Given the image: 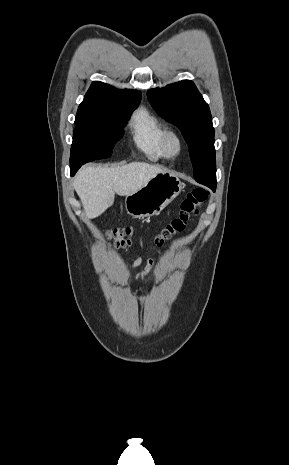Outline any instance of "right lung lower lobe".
I'll use <instances>...</instances> for the list:
<instances>
[{
	"label": "right lung lower lobe",
	"mask_w": 289,
	"mask_h": 465,
	"mask_svg": "<svg viewBox=\"0 0 289 465\" xmlns=\"http://www.w3.org/2000/svg\"><path fill=\"white\" fill-rule=\"evenodd\" d=\"M81 165L83 164L77 163V164L70 165L71 176H73L77 172V170L81 167Z\"/></svg>",
	"instance_id": "98d812e1"
}]
</instances>
